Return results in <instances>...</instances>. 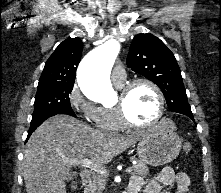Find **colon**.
Returning a JSON list of instances; mask_svg holds the SVG:
<instances>
[{"mask_svg": "<svg viewBox=\"0 0 221 193\" xmlns=\"http://www.w3.org/2000/svg\"><path fill=\"white\" fill-rule=\"evenodd\" d=\"M183 148L185 151L189 152L192 149V145L190 143H186L184 144Z\"/></svg>", "mask_w": 221, "mask_h": 193, "instance_id": "5ec220e1", "label": "colon"}]
</instances>
